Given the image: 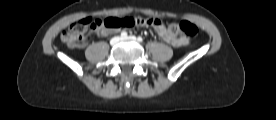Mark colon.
<instances>
[{"mask_svg": "<svg viewBox=\"0 0 276 120\" xmlns=\"http://www.w3.org/2000/svg\"><path fill=\"white\" fill-rule=\"evenodd\" d=\"M157 18L141 17H107L102 19L86 18L72 24L61 35V40L71 47L79 46V41L88 31L95 30H115L142 25H154L158 22ZM168 32L172 35L183 34L188 38H195L198 30L197 27L189 22L182 21L179 23H170Z\"/></svg>", "mask_w": 276, "mask_h": 120, "instance_id": "obj_1", "label": "colon"}]
</instances>
